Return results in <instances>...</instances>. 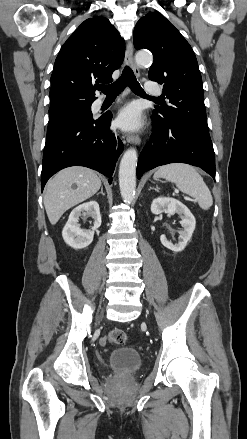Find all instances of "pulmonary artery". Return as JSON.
I'll list each match as a JSON object with an SVG mask.
<instances>
[{
	"label": "pulmonary artery",
	"instance_id": "1",
	"mask_svg": "<svg viewBox=\"0 0 247 439\" xmlns=\"http://www.w3.org/2000/svg\"><path fill=\"white\" fill-rule=\"evenodd\" d=\"M145 89L147 93L152 95H159L161 93V87L154 81H147L145 83Z\"/></svg>",
	"mask_w": 247,
	"mask_h": 439
}]
</instances>
